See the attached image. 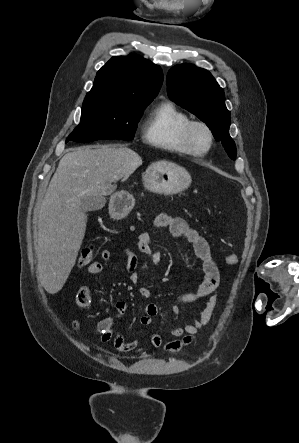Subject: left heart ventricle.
Instances as JSON below:
<instances>
[{
  "mask_svg": "<svg viewBox=\"0 0 299 443\" xmlns=\"http://www.w3.org/2000/svg\"><path fill=\"white\" fill-rule=\"evenodd\" d=\"M193 144L197 149L203 150L208 146V135L202 128H196L193 133Z\"/></svg>",
  "mask_w": 299,
  "mask_h": 443,
  "instance_id": "1",
  "label": "left heart ventricle"
}]
</instances>
